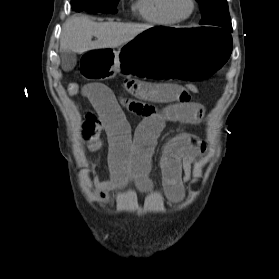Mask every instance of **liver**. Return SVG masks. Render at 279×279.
<instances>
[{"label": "liver", "mask_w": 279, "mask_h": 279, "mask_svg": "<svg viewBox=\"0 0 279 279\" xmlns=\"http://www.w3.org/2000/svg\"><path fill=\"white\" fill-rule=\"evenodd\" d=\"M151 27L148 24L97 23L86 16L72 17L62 28L60 51L82 54L97 49L120 47ZM93 36L97 38L96 41H92Z\"/></svg>", "instance_id": "liver-1"}]
</instances>
